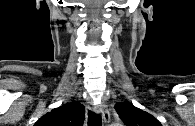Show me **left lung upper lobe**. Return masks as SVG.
Segmentation results:
<instances>
[{
    "instance_id": "left-lung-upper-lobe-1",
    "label": "left lung upper lobe",
    "mask_w": 195,
    "mask_h": 126,
    "mask_svg": "<svg viewBox=\"0 0 195 126\" xmlns=\"http://www.w3.org/2000/svg\"><path fill=\"white\" fill-rule=\"evenodd\" d=\"M115 109L126 126H161L152 115L130 103L118 102Z\"/></svg>"
}]
</instances>
